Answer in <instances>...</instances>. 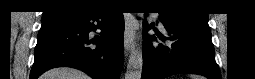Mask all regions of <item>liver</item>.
I'll return each mask as SVG.
<instances>
[{
	"label": "liver",
	"mask_w": 255,
	"mask_h": 79,
	"mask_svg": "<svg viewBox=\"0 0 255 79\" xmlns=\"http://www.w3.org/2000/svg\"><path fill=\"white\" fill-rule=\"evenodd\" d=\"M40 79H90V77L80 70L62 67L47 71Z\"/></svg>",
	"instance_id": "obj_1"
}]
</instances>
